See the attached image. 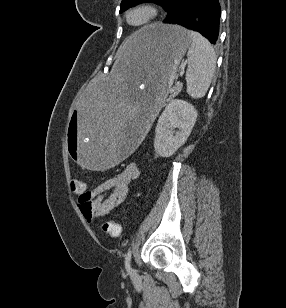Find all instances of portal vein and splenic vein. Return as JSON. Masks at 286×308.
Listing matches in <instances>:
<instances>
[{
    "mask_svg": "<svg viewBox=\"0 0 286 308\" xmlns=\"http://www.w3.org/2000/svg\"><path fill=\"white\" fill-rule=\"evenodd\" d=\"M183 74H184V70L182 69V70L180 71V76H183ZM178 85H180V82H178Z\"/></svg>",
    "mask_w": 286,
    "mask_h": 308,
    "instance_id": "obj_1",
    "label": "portal vein and splenic vein"
}]
</instances>
